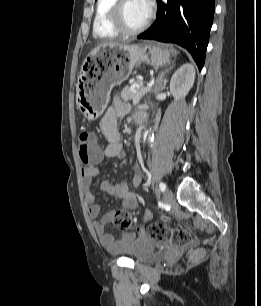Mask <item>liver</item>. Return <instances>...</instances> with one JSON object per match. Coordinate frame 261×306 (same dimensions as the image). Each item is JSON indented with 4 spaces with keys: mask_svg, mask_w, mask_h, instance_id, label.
<instances>
[{
    "mask_svg": "<svg viewBox=\"0 0 261 306\" xmlns=\"http://www.w3.org/2000/svg\"><path fill=\"white\" fill-rule=\"evenodd\" d=\"M123 45L125 44L119 42H109V43H103L101 46L106 47V46H123Z\"/></svg>",
    "mask_w": 261,
    "mask_h": 306,
    "instance_id": "1",
    "label": "liver"
}]
</instances>
